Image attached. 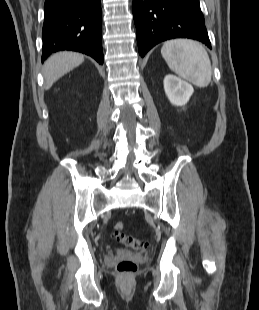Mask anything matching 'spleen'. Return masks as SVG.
<instances>
[{"instance_id":"3e777b00","label":"spleen","mask_w":259,"mask_h":310,"mask_svg":"<svg viewBox=\"0 0 259 310\" xmlns=\"http://www.w3.org/2000/svg\"><path fill=\"white\" fill-rule=\"evenodd\" d=\"M161 54L168 67L183 79L198 87L209 85L211 62L200 43L189 39L170 40L162 46Z\"/></svg>"}]
</instances>
